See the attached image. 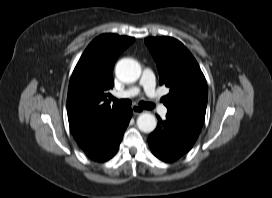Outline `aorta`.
<instances>
[{
	"instance_id": "obj_1",
	"label": "aorta",
	"mask_w": 272,
	"mask_h": 198,
	"mask_svg": "<svg viewBox=\"0 0 272 198\" xmlns=\"http://www.w3.org/2000/svg\"><path fill=\"white\" fill-rule=\"evenodd\" d=\"M115 74L121 81L132 83L139 79L141 67L136 60L124 58L117 63ZM156 125V118L150 113H143L137 118V127L144 133H151L155 130Z\"/></svg>"
}]
</instances>
